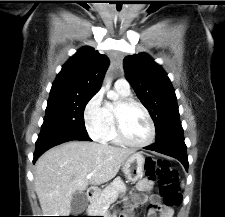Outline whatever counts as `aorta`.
<instances>
[{
  "label": "aorta",
  "mask_w": 225,
  "mask_h": 217,
  "mask_svg": "<svg viewBox=\"0 0 225 217\" xmlns=\"http://www.w3.org/2000/svg\"><path fill=\"white\" fill-rule=\"evenodd\" d=\"M107 85H110V80L107 81ZM107 97L109 99L116 100L118 98V95L114 91H108Z\"/></svg>",
  "instance_id": "762f6f07"
}]
</instances>
